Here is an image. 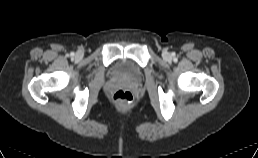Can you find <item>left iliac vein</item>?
<instances>
[{"label": "left iliac vein", "mask_w": 258, "mask_h": 158, "mask_svg": "<svg viewBox=\"0 0 258 158\" xmlns=\"http://www.w3.org/2000/svg\"><path fill=\"white\" fill-rule=\"evenodd\" d=\"M162 56L165 60H170L171 59V55L168 51H163Z\"/></svg>", "instance_id": "4c4485c4"}]
</instances>
